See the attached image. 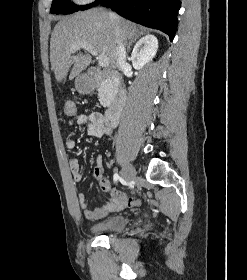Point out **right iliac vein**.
Segmentation results:
<instances>
[{
  "label": "right iliac vein",
  "instance_id": "right-iliac-vein-1",
  "mask_svg": "<svg viewBox=\"0 0 247 280\" xmlns=\"http://www.w3.org/2000/svg\"><path fill=\"white\" fill-rule=\"evenodd\" d=\"M136 176V171L131 164L126 163L122 168V177L125 181L130 182Z\"/></svg>",
  "mask_w": 247,
  "mask_h": 280
}]
</instances>
